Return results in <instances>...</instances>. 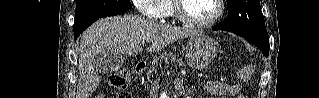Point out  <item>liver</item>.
<instances>
[{
	"mask_svg": "<svg viewBox=\"0 0 319 98\" xmlns=\"http://www.w3.org/2000/svg\"><path fill=\"white\" fill-rule=\"evenodd\" d=\"M197 34L201 32L157 24L139 15L98 20L80 36L76 98H89L101 82L94 62L99 53L111 51L128 56L136 55L143 50L142 44L148 38L153 40L147 50L157 52L178 39Z\"/></svg>",
	"mask_w": 319,
	"mask_h": 98,
	"instance_id": "liver-1",
	"label": "liver"
}]
</instances>
